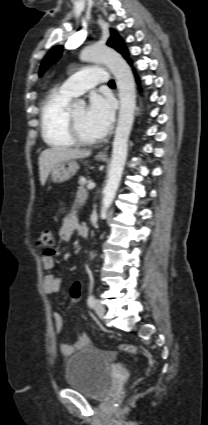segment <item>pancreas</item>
Wrapping results in <instances>:
<instances>
[{
    "label": "pancreas",
    "mask_w": 208,
    "mask_h": 425,
    "mask_svg": "<svg viewBox=\"0 0 208 425\" xmlns=\"http://www.w3.org/2000/svg\"><path fill=\"white\" fill-rule=\"evenodd\" d=\"M89 182L90 181H86V180H82V179L79 180L78 183H79L80 186L78 188L77 197H76V200H75V203H76L77 206L83 205L84 202L86 201L88 194H87V190L85 189V185Z\"/></svg>",
    "instance_id": "pancreas-1"
}]
</instances>
